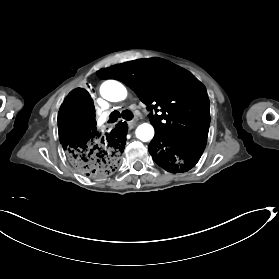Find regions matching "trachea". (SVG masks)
Returning a JSON list of instances; mask_svg holds the SVG:
<instances>
[{
    "mask_svg": "<svg viewBox=\"0 0 279 279\" xmlns=\"http://www.w3.org/2000/svg\"><path fill=\"white\" fill-rule=\"evenodd\" d=\"M122 116L123 119L125 120H131L133 118V114L130 110L126 109L124 111H122V113L120 114L119 111H114L111 113L110 118H109V123H114L118 120V118H120Z\"/></svg>",
    "mask_w": 279,
    "mask_h": 279,
    "instance_id": "obj_1",
    "label": "trachea"
}]
</instances>
